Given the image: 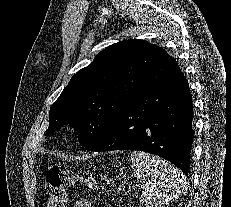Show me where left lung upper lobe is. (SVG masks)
<instances>
[{
    "label": "left lung upper lobe",
    "instance_id": "1",
    "mask_svg": "<svg viewBox=\"0 0 231 207\" xmlns=\"http://www.w3.org/2000/svg\"><path fill=\"white\" fill-rule=\"evenodd\" d=\"M165 51L142 40H124L101 51L79 70L49 112L51 134L64 124L78 131L80 144L93 146L116 116L146 87Z\"/></svg>",
    "mask_w": 231,
    "mask_h": 207
}]
</instances>
